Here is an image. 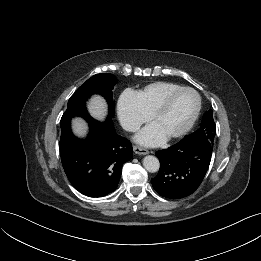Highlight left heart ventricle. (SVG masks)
<instances>
[{
	"instance_id": "b2bd125f",
	"label": "left heart ventricle",
	"mask_w": 261,
	"mask_h": 261,
	"mask_svg": "<svg viewBox=\"0 0 261 261\" xmlns=\"http://www.w3.org/2000/svg\"><path fill=\"white\" fill-rule=\"evenodd\" d=\"M197 104L192 92L175 96L167 109L158 116L153 124L167 137L180 131L190 120Z\"/></svg>"
}]
</instances>
